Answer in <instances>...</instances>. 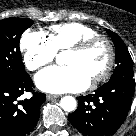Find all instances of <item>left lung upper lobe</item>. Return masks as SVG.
Segmentation results:
<instances>
[{"instance_id":"5c2ea615","label":"left lung upper lobe","mask_w":136,"mask_h":136,"mask_svg":"<svg viewBox=\"0 0 136 136\" xmlns=\"http://www.w3.org/2000/svg\"><path fill=\"white\" fill-rule=\"evenodd\" d=\"M116 49V68L110 81L116 79L133 78V61L123 40L114 32L107 29Z\"/></svg>"}]
</instances>
